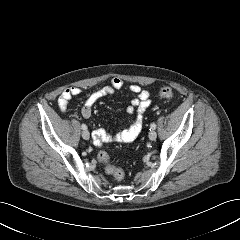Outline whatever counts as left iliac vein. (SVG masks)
<instances>
[{
	"mask_svg": "<svg viewBox=\"0 0 240 240\" xmlns=\"http://www.w3.org/2000/svg\"><path fill=\"white\" fill-rule=\"evenodd\" d=\"M156 138H157V133L154 130L150 131L149 132V139L151 141H154Z\"/></svg>",
	"mask_w": 240,
	"mask_h": 240,
	"instance_id": "left-iliac-vein-1",
	"label": "left iliac vein"
}]
</instances>
